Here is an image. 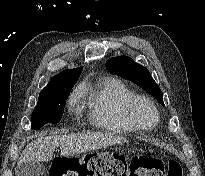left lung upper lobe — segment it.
<instances>
[{"label": "left lung upper lobe", "mask_w": 205, "mask_h": 176, "mask_svg": "<svg viewBox=\"0 0 205 176\" xmlns=\"http://www.w3.org/2000/svg\"><path fill=\"white\" fill-rule=\"evenodd\" d=\"M106 68L114 74L133 81L153 95L164 106L163 93L144 66L136 63L128 56H119L108 59Z\"/></svg>", "instance_id": "5c2ea615"}]
</instances>
